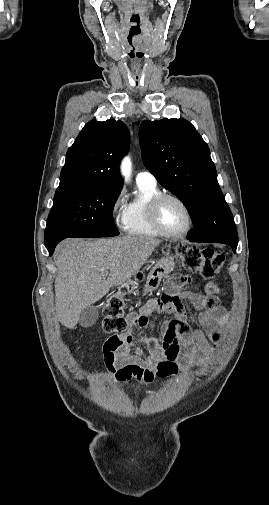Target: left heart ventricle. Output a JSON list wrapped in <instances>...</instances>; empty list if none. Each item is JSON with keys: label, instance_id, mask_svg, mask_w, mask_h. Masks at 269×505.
<instances>
[{"label": "left heart ventricle", "instance_id": "obj_1", "mask_svg": "<svg viewBox=\"0 0 269 505\" xmlns=\"http://www.w3.org/2000/svg\"><path fill=\"white\" fill-rule=\"evenodd\" d=\"M159 219L162 226L170 232L184 230L188 223L187 213L176 201L167 199L159 208Z\"/></svg>", "mask_w": 269, "mask_h": 505}]
</instances>
